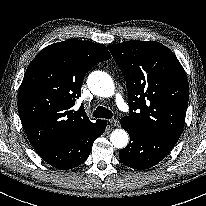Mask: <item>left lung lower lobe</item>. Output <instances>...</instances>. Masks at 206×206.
I'll return each mask as SVG.
<instances>
[{
  "label": "left lung lower lobe",
  "instance_id": "obj_1",
  "mask_svg": "<svg viewBox=\"0 0 206 206\" xmlns=\"http://www.w3.org/2000/svg\"><path fill=\"white\" fill-rule=\"evenodd\" d=\"M121 126L129 133L128 146L119 151L123 164L134 169H148L163 160L177 140L133 128L121 119Z\"/></svg>",
  "mask_w": 206,
  "mask_h": 206
}]
</instances>
